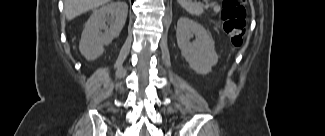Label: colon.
Wrapping results in <instances>:
<instances>
[{"label": "colon", "instance_id": "colon-1", "mask_svg": "<svg viewBox=\"0 0 325 136\" xmlns=\"http://www.w3.org/2000/svg\"><path fill=\"white\" fill-rule=\"evenodd\" d=\"M245 16L243 0H223V30L230 36L234 46H241L244 43L246 33Z\"/></svg>", "mask_w": 325, "mask_h": 136}]
</instances>
